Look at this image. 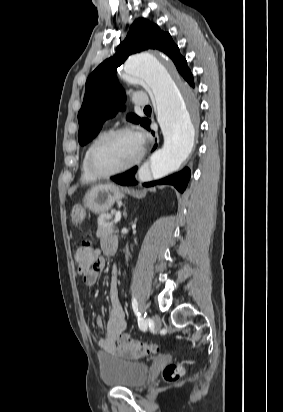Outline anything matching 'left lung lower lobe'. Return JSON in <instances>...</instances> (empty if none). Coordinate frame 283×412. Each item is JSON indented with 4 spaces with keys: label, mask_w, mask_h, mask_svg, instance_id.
Listing matches in <instances>:
<instances>
[{
    "label": "left lung lower lobe",
    "mask_w": 283,
    "mask_h": 412,
    "mask_svg": "<svg viewBox=\"0 0 283 412\" xmlns=\"http://www.w3.org/2000/svg\"><path fill=\"white\" fill-rule=\"evenodd\" d=\"M184 79L191 86H194L193 76L191 72ZM144 127L149 129V120ZM156 146L157 145H155L153 149H155ZM136 171H137V167H133L132 169L126 171L123 174H119V175L111 177V180H113L114 182L120 185L136 184V181L134 179V175ZM190 174H191L190 169L186 167L180 172L174 173L165 178H162V179H159L153 182L144 183V186L149 187V186H155V185L169 184V185H173L180 193H183L188 184Z\"/></svg>",
    "instance_id": "left-lung-lower-lobe-1"
}]
</instances>
